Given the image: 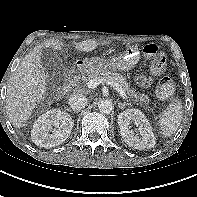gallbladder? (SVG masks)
<instances>
[{
	"label": "gallbladder",
	"mask_w": 197,
	"mask_h": 197,
	"mask_svg": "<svg viewBox=\"0 0 197 197\" xmlns=\"http://www.w3.org/2000/svg\"><path fill=\"white\" fill-rule=\"evenodd\" d=\"M53 56L54 53L49 48H44L41 55V63L46 68L47 72H49L50 75H53L54 71H52L51 66L53 64Z\"/></svg>",
	"instance_id": "gallbladder-1"
}]
</instances>
